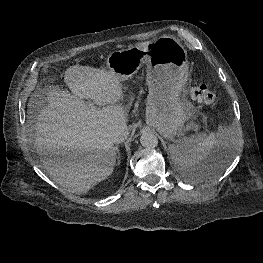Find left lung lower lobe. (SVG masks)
I'll list each match as a JSON object with an SVG mask.
<instances>
[{
  "label": "left lung lower lobe",
  "instance_id": "1",
  "mask_svg": "<svg viewBox=\"0 0 263 263\" xmlns=\"http://www.w3.org/2000/svg\"><path fill=\"white\" fill-rule=\"evenodd\" d=\"M219 167V161L216 157L211 158L205 165H203L200 169L193 171L194 175H199L202 177L211 176L215 172H217Z\"/></svg>",
  "mask_w": 263,
  "mask_h": 263
}]
</instances>
